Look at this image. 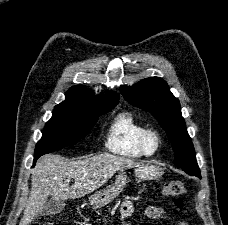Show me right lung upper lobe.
Here are the masks:
<instances>
[{
  "mask_svg": "<svg viewBox=\"0 0 228 225\" xmlns=\"http://www.w3.org/2000/svg\"><path fill=\"white\" fill-rule=\"evenodd\" d=\"M119 96L115 92H108L106 95L95 96L92 91L82 85L72 87L62 103L82 104L89 106H112L117 105Z\"/></svg>",
  "mask_w": 228,
  "mask_h": 225,
  "instance_id": "cb5924a9",
  "label": "right lung upper lobe"
}]
</instances>
